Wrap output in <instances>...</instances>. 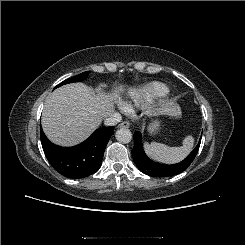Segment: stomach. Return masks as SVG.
<instances>
[{
    "label": "stomach",
    "mask_w": 245,
    "mask_h": 245,
    "mask_svg": "<svg viewBox=\"0 0 245 245\" xmlns=\"http://www.w3.org/2000/svg\"><path fill=\"white\" fill-rule=\"evenodd\" d=\"M160 128V122L154 121L148 126V131L150 134H155Z\"/></svg>",
    "instance_id": "1"
}]
</instances>
